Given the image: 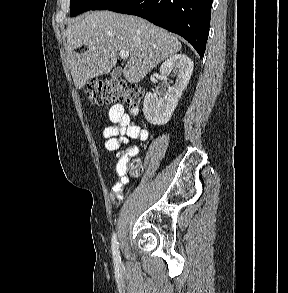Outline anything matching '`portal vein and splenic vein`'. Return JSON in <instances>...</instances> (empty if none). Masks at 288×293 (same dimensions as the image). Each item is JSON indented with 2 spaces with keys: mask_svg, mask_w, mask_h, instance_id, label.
Segmentation results:
<instances>
[{
  "mask_svg": "<svg viewBox=\"0 0 288 293\" xmlns=\"http://www.w3.org/2000/svg\"><path fill=\"white\" fill-rule=\"evenodd\" d=\"M119 56L121 59H127L129 57V53L127 51H120Z\"/></svg>",
  "mask_w": 288,
  "mask_h": 293,
  "instance_id": "obj_1",
  "label": "portal vein and splenic vein"
}]
</instances>
